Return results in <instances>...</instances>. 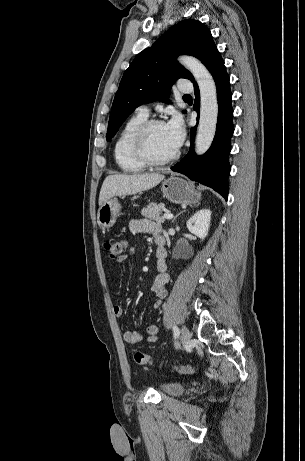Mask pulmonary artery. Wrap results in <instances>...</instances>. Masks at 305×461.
<instances>
[{
    "instance_id": "1",
    "label": "pulmonary artery",
    "mask_w": 305,
    "mask_h": 461,
    "mask_svg": "<svg viewBox=\"0 0 305 461\" xmlns=\"http://www.w3.org/2000/svg\"><path fill=\"white\" fill-rule=\"evenodd\" d=\"M178 89L180 92L182 93H188V92H191L192 91V87L185 83V82H182L179 84L178 86ZM137 112L138 113H141V114H144V115H148L149 114V109L147 106H141L137 109Z\"/></svg>"
}]
</instances>
